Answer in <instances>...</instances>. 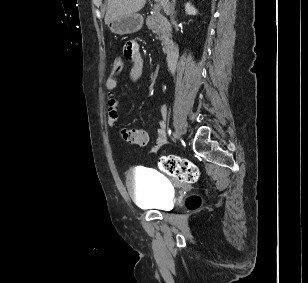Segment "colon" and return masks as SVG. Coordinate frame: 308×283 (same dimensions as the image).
Returning <instances> with one entry per match:
<instances>
[{"instance_id": "1", "label": "colon", "mask_w": 308, "mask_h": 283, "mask_svg": "<svg viewBox=\"0 0 308 283\" xmlns=\"http://www.w3.org/2000/svg\"><path fill=\"white\" fill-rule=\"evenodd\" d=\"M123 68V61L117 57L113 61L112 73L118 74ZM160 168L166 174L185 183H194L199 179V170L191 161L178 156H164L159 162ZM197 200L190 198L187 200V205L195 207Z\"/></svg>"}]
</instances>
